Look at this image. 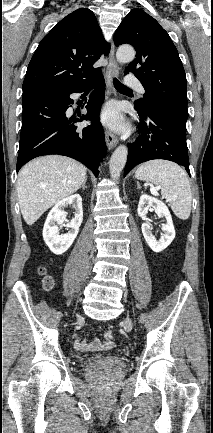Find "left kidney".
Masks as SVG:
<instances>
[{
  "label": "left kidney",
  "instance_id": "left-kidney-1",
  "mask_svg": "<svg viewBox=\"0 0 213 433\" xmlns=\"http://www.w3.org/2000/svg\"><path fill=\"white\" fill-rule=\"evenodd\" d=\"M150 208H153L159 217H164L166 219V224L162 225L164 234L159 240H156L151 232L149 224L147 223L142 224L141 230L149 247L154 252H161L167 248L175 238V229L168 207L157 198L146 194L142 195L137 209L139 217L144 218Z\"/></svg>",
  "mask_w": 213,
  "mask_h": 433
}]
</instances>
